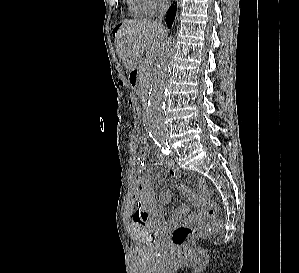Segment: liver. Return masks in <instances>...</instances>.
<instances>
[{
    "mask_svg": "<svg viewBox=\"0 0 299 273\" xmlns=\"http://www.w3.org/2000/svg\"><path fill=\"white\" fill-rule=\"evenodd\" d=\"M165 29L156 21L135 19L124 21L115 36V47L128 72L134 71L144 53L154 57L164 40Z\"/></svg>",
    "mask_w": 299,
    "mask_h": 273,
    "instance_id": "1",
    "label": "liver"
}]
</instances>
